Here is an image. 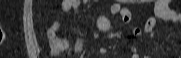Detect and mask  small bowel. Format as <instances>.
I'll return each instance as SVG.
<instances>
[{"label": "small bowel", "mask_w": 181, "mask_h": 58, "mask_svg": "<svg viewBox=\"0 0 181 58\" xmlns=\"http://www.w3.org/2000/svg\"><path fill=\"white\" fill-rule=\"evenodd\" d=\"M84 5L85 7H89L88 0H64L61 3L60 13L57 19L52 23L50 28L47 31V37L51 41L53 49L58 53L61 54L62 51L68 48V43L64 39L57 38L56 32L60 27V23L62 17L66 13H74L78 14L80 12L81 6ZM111 12L115 15H119L124 22L128 23L131 19L130 12L122 8L120 4L116 3L113 4L111 7ZM154 13L155 17H151L147 20L144 29H140L138 27L132 28V33L141 39H145L149 36L156 26L158 20H164L169 22H181V14L173 10L169 5V0H156L154 4ZM133 58H140L139 48L133 47ZM99 52L101 54H105L107 50L105 48H100ZM146 58V57H144Z\"/></svg>", "instance_id": "1"}]
</instances>
